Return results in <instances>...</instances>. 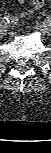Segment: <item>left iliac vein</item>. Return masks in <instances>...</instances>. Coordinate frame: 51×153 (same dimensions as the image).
I'll return each mask as SVG.
<instances>
[{
    "label": "left iliac vein",
    "instance_id": "1",
    "mask_svg": "<svg viewBox=\"0 0 51 153\" xmlns=\"http://www.w3.org/2000/svg\"><path fill=\"white\" fill-rule=\"evenodd\" d=\"M35 28L47 35H50L51 33V26L49 24H38Z\"/></svg>",
    "mask_w": 51,
    "mask_h": 153
}]
</instances>
